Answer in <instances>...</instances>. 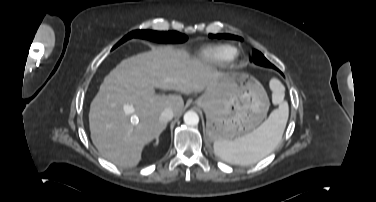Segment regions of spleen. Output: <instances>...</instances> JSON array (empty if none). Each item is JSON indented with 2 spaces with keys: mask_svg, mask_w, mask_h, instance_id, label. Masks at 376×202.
<instances>
[{
  "mask_svg": "<svg viewBox=\"0 0 376 202\" xmlns=\"http://www.w3.org/2000/svg\"><path fill=\"white\" fill-rule=\"evenodd\" d=\"M273 103L279 104L256 130L234 140L214 142V152L227 162L238 165L255 164L270 154L281 141L287 120L288 104L283 101L284 89L280 81H271Z\"/></svg>",
  "mask_w": 376,
  "mask_h": 202,
  "instance_id": "spleen-1",
  "label": "spleen"
}]
</instances>
